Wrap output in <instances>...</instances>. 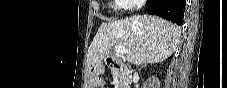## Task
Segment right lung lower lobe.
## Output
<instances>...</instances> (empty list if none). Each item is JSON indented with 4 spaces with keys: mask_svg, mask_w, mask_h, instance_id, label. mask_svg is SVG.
<instances>
[{
    "mask_svg": "<svg viewBox=\"0 0 227 88\" xmlns=\"http://www.w3.org/2000/svg\"><path fill=\"white\" fill-rule=\"evenodd\" d=\"M186 0H147L146 10L178 25H183Z\"/></svg>",
    "mask_w": 227,
    "mask_h": 88,
    "instance_id": "right-lung-lower-lobe-1",
    "label": "right lung lower lobe"
}]
</instances>
